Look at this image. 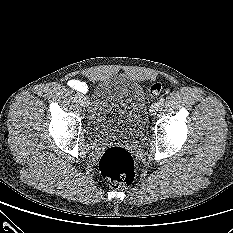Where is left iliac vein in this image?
<instances>
[{"instance_id": "obj_1", "label": "left iliac vein", "mask_w": 233, "mask_h": 233, "mask_svg": "<svg viewBox=\"0 0 233 233\" xmlns=\"http://www.w3.org/2000/svg\"><path fill=\"white\" fill-rule=\"evenodd\" d=\"M159 108H160V104H159V102H155V103H153L152 105H151V107H150V114L153 116V115H155L157 112H158V110H159Z\"/></svg>"}]
</instances>
